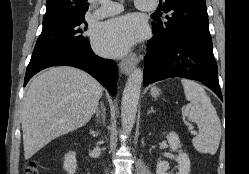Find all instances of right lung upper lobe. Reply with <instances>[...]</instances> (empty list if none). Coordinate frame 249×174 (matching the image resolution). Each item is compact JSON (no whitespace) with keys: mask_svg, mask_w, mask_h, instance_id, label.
I'll use <instances>...</instances> for the list:
<instances>
[{"mask_svg":"<svg viewBox=\"0 0 249 174\" xmlns=\"http://www.w3.org/2000/svg\"><path fill=\"white\" fill-rule=\"evenodd\" d=\"M88 0H46V14L43 26L69 19L84 17L88 10Z\"/></svg>","mask_w":249,"mask_h":174,"instance_id":"cb5924a9","label":"right lung upper lobe"}]
</instances>
